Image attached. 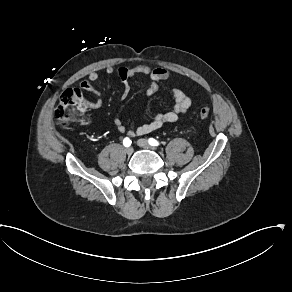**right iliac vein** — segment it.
<instances>
[{"label": "right iliac vein", "mask_w": 292, "mask_h": 292, "mask_svg": "<svg viewBox=\"0 0 292 292\" xmlns=\"http://www.w3.org/2000/svg\"><path fill=\"white\" fill-rule=\"evenodd\" d=\"M126 154L131 155L133 153V148L132 147H127L125 149Z\"/></svg>", "instance_id": "right-iliac-vein-1"}]
</instances>
